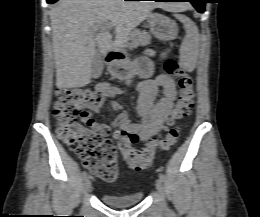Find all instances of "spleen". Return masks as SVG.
I'll list each match as a JSON object with an SVG mask.
<instances>
[{
  "instance_id": "obj_1",
  "label": "spleen",
  "mask_w": 260,
  "mask_h": 217,
  "mask_svg": "<svg viewBox=\"0 0 260 217\" xmlns=\"http://www.w3.org/2000/svg\"><path fill=\"white\" fill-rule=\"evenodd\" d=\"M176 19L183 23L186 35L180 47V56L183 60L193 59L199 45V31L196 24L182 14H175Z\"/></svg>"
}]
</instances>
